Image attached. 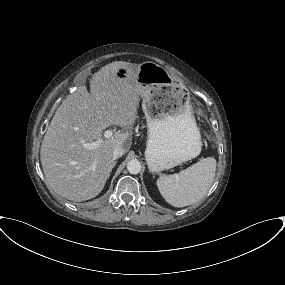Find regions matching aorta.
Here are the masks:
<instances>
[{"mask_svg": "<svg viewBox=\"0 0 285 285\" xmlns=\"http://www.w3.org/2000/svg\"><path fill=\"white\" fill-rule=\"evenodd\" d=\"M127 170L130 174H138L141 171V163L136 159L130 160L127 163Z\"/></svg>", "mask_w": 285, "mask_h": 285, "instance_id": "1", "label": "aorta"}]
</instances>
